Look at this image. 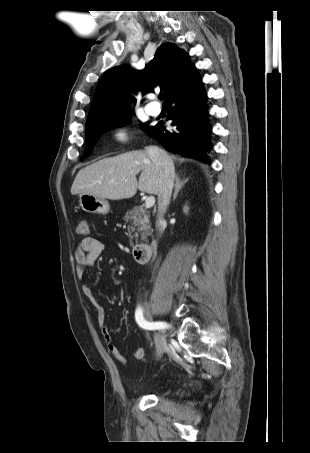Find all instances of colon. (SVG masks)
Segmentation results:
<instances>
[{"instance_id":"1","label":"colon","mask_w":310,"mask_h":453,"mask_svg":"<svg viewBox=\"0 0 310 453\" xmlns=\"http://www.w3.org/2000/svg\"><path fill=\"white\" fill-rule=\"evenodd\" d=\"M76 231L78 235L87 236L90 233V226L88 220L85 218L80 219Z\"/></svg>"}]
</instances>
